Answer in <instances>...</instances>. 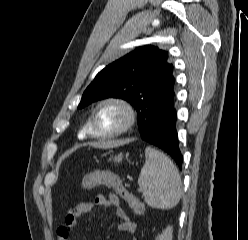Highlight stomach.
Returning <instances> with one entry per match:
<instances>
[{"instance_id": "obj_1", "label": "stomach", "mask_w": 248, "mask_h": 240, "mask_svg": "<svg viewBox=\"0 0 248 240\" xmlns=\"http://www.w3.org/2000/svg\"><path fill=\"white\" fill-rule=\"evenodd\" d=\"M113 160H114V162L119 163L122 160V155L119 154V155L115 156Z\"/></svg>"}]
</instances>
